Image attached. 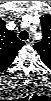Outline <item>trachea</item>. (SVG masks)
Segmentation results:
<instances>
[{
  "label": "trachea",
  "instance_id": "1",
  "mask_svg": "<svg viewBox=\"0 0 51 101\" xmlns=\"http://www.w3.org/2000/svg\"><path fill=\"white\" fill-rule=\"evenodd\" d=\"M28 36H29V34H28L27 31H21V32L19 33V38H20L21 40H27V39H28Z\"/></svg>",
  "mask_w": 51,
  "mask_h": 101
}]
</instances>
